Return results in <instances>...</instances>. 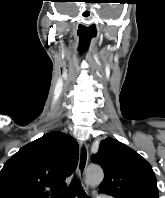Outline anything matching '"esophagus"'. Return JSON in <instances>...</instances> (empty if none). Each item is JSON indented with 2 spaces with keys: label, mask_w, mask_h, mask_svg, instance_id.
<instances>
[{
  "label": "esophagus",
  "mask_w": 165,
  "mask_h": 198,
  "mask_svg": "<svg viewBox=\"0 0 165 198\" xmlns=\"http://www.w3.org/2000/svg\"><path fill=\"white\" fill-rule=\"evenodd\" d=\"M88 159H89L88 147L84 141H80L77 174L81 181L84 178V174L88 164Z\"/></svg>",
  "instance_id": "esophagus-1"
}]
</instances>
